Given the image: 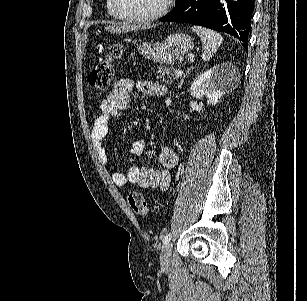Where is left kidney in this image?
Instances as JSON below:
<instances>
[{
	"label": "left kidney",
	"mask_w": 307,
	"mask_h": 301,
	"mask_svg": "<svg viewBox=\"0 0 307 301\" xmlns=\"http://www.w3.org/2000/svg\"><path fill=\"white\" fill-rule=\"evenodd\" d=\"M238 74L239 72L232 62L215 64V66L205 70V72H201L199 76L194 78L190 94L192 96H206L211 104H217L221 96L236 84ZM184 118L185 120L189 118L188 114H185Z\"/></svg>",
	"instance_id": "left-kidney-1"
}]
</instances>
